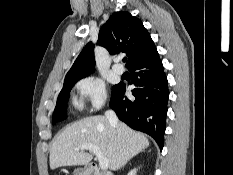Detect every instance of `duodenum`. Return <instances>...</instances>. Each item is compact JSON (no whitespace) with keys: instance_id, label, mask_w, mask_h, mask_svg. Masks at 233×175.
<instances>
[{"instance_id":"410a0bca","label":"duodenum","mask_w":233,"mask_h":175,"mask_svg":"<svg viewBox=\"0 0 233 175\" xmlns=\"http://www.w3.org/2000/svg\"><path fill=\"white\" fill-rule=\"evenodd\" d=\"M84 175H106L103 173L97 165H90L86 170Z\"/></svg>"}]
</instances>
